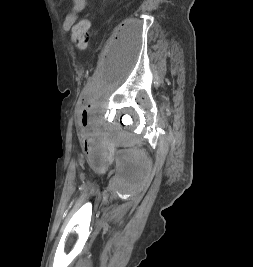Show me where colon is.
Returning <instances> with one entry per match:
<instances>
[{
    "instance_id": "5ec220e1",
    "label": "colon",
    "mask_w": 253,
    "mask_h": 267,
    "mask_svg": "<svg viewBox=\"0 0 253 267\" xmlns=\"http://www.w3.org/2000/svg\"><path fill=\"white\" fill-rule=\"evenodd\" d=\"M90 37V23L87 20L77 22L72 28V40L74 45L84 50L87 48Z\"/></svg>"
}]
</instances>
